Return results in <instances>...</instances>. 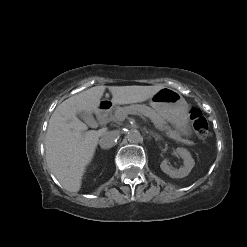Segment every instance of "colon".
I'll list each match as a JSON object with an SVG mask.
<instances>
[{
  "mask_svg": "<svg viewBox=\"0 0 247 247\" xmlns=\"http://www.w3.org/2000/svg\"><path fill=\"white\" fill-rule=\"evenodd\" d=\"M189 118L196 135L201 139H205L209 134V126L202 112L198 108H192Z\"/></svg>",
  "mask_w": 247,
  "mask_h": 247,
  "instance_id": "1",
  "label": "colon"
}]
</instances>
